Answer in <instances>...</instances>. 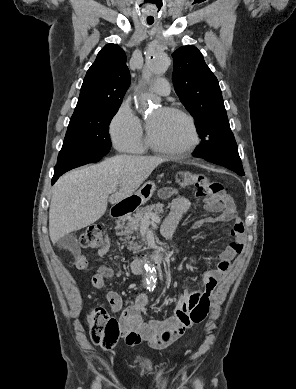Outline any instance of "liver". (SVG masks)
<instances>
[{"label": "liver", "instance_id": "1", "mask_svg": "<svg viewBox=\"0 0 296 389\" xmlns=\"http://www.w3.org/2000/svg\"><path fill=\"white\" fill-rule=\"evenodd\" d=\"M165 161L161 157L117 155L60 177L49 209L52 243L96 222L106 212L108 201L115 204L131 196Z\"/></svg>", "mask_w": 296, "mask_h": 389}]
</instances>
